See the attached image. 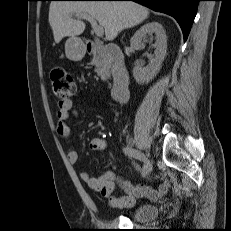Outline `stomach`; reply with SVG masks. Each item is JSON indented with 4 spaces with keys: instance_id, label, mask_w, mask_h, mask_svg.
<instances>
[{
    "instance_id": "0dacf381",
    "label": "stomach",
    "mask_w": 231,
    "mask_h": 231,
    "mask_svg": "<svg viewBox=\"0 0 231 231\" xmlns=\"http://www.w3.org/2000/svg\"><path fill=\"white\" fill-rule=\"evenodd\" d=\"M66 57L71 61H80L86 53L83 41L74 36L67 39L65 43Z\"/></svg>"
}]
</instances>
